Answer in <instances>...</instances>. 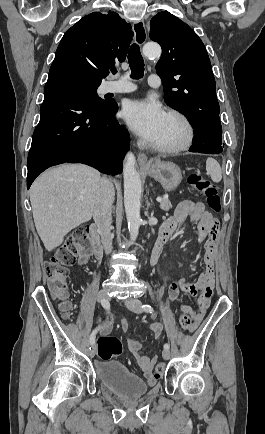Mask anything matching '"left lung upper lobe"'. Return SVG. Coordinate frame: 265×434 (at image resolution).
I'll return each mask as SVG.
<instances>
[{"mask_svg":"<svg viewBox=\"0 0 265 434\" xmlns=\"http://www.w3.org/2000/svg\"><path fill=\"white\" fill-rule=\"evenodd\" d=\"M150 27V38L162 47L156 71L163 82L165 102L187 117L194 135L222 140L216 83L203 42L167 11L155 15Z\"/></svg>","mask_w":265,"mask_h":434,"instance_id":"left-lung-upper-lobe-1","label":"left lung upper lobe"}]
</instances>
